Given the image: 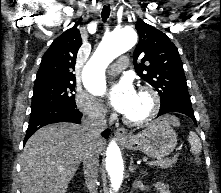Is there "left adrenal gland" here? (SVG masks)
<instances>
[{"label":"left adrenal gland","instance_id":"1","mask_svg":"<svg viewBox=\"0 0 221 193\" xmlns=\"http://www.w3.org/2000/svg\"><path fill=\"white\" fill-rule=\"evenodd\" d=\"M137 168H138V166H134V165H133V158L131 157V158H130V164H129V171H130L131 173H134V171H135Z\"/></svg>","mask_w":221,"mask_h":193}]
</instances>
